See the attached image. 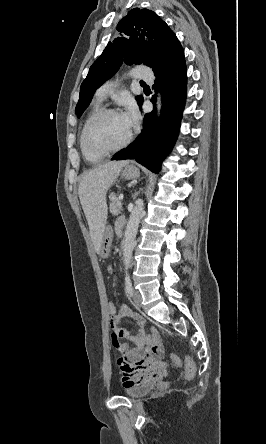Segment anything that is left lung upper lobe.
<instances>
[{"instance_id": "obj_1", "label": "left lung upper lobe", "mask_w": 266, "mask_h": 444, "mask_svg": "<svg viewBox=\"0 0 266 444\" xmlns=\"http://www.w3.org/2000/svg\"><path fill=\"white\" fill-rule=\"evenodd\" d=\"M117 30L124 34L108 43L81 84L77 117L88 107L95 90L118 71L123 61L130 65L143 63L156 73L184 52L170 27L148 9L130 10ZM136 100L141 105L143 98L137 96Z\"/></svg>"}]
</instances>
